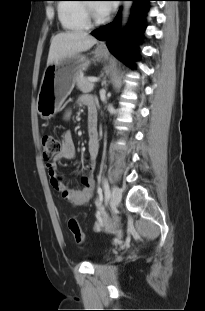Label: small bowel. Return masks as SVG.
<instances>
[{
  "label": "small bowel",
  "mask_w": 205,
  "mask_h": 311,
  "mask_svg": "<svg viewBox=\"0 0 205 311\" xmlns=\"http://www.w3.org/2000/svg\"><path fill=\"white\" fill-rule=\"evenodd\" d=\"M80 101L88 108L87 134H88V164L87 174L81 177L83 187L79 190L70 188L58 173V162L62 160H72L76 156V149L70 131H65L61 135V149L50 162L46 163L48 174L51 177V185L61 196L75 206L84 205L92 197L95 182L92 177V170L98 157V128H97V107L90 96H83ZM65 119L70 118V112L64 115Z\"/></svg>",
  "instance_id": "1"
}]
</instances>
